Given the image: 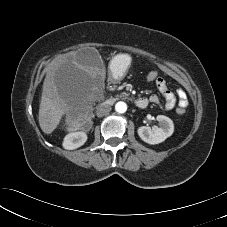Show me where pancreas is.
<instances>
[{
    "mask_svg": "<svg viewBox=\"0 0 227 227\" xmlns=\"http://www.w3.org/2000/svg\"><path fill=\"white\" fill-rule=\"evenodd\" d=\"M127 94L126 93H122V95H120L119 97H126Z\"/></svg>",
    "mask_w": 227,
    "mask_h": 227,
    "instance_id": "obj_1",
    "label": "pancreas"
}]
</instances>
